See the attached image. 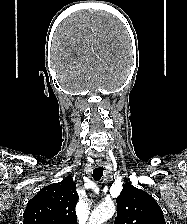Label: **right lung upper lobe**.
Returning a JSON list of instances; mask_svg holds the SVG:
<instances>
[{"label":"right lung upper lobe","mask_w":187,"mask_h":224,"mask_svg":"<svg viewBox=\"0 0 187 224\" xmlns=\"http://www.w3.org/2000/svg\"><path fill=\"white\" fill-rule=\"evenodd\" d=\"M76 183L71 177L42 188L28 201L23 224H77Z\"/></svg>","instance_id":"cb5924a9"}]
</instances>
